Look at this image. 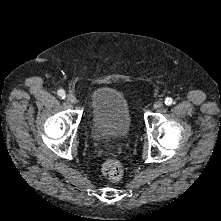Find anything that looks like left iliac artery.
I'll use <instances>...</instances> for the list:
<instances>
[{"label":"left iliac artery","instance_id":"obj_1","mask_svg":"<svg viewBox=\"0 0 221 221\" xmlns=\"http://www.w3.org/2000/svg\"><path fill=\"white\" fill-rule=\"evenodd\" d=\"M173 103V100H172V98H170V97H167L166 99H165V104L166 105H171Z\"/></svg>","mask_w":221,"mask_h":221}]
</instances>
